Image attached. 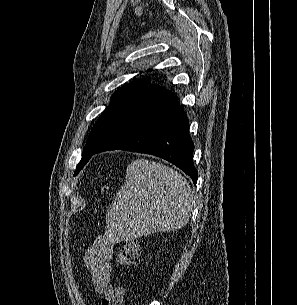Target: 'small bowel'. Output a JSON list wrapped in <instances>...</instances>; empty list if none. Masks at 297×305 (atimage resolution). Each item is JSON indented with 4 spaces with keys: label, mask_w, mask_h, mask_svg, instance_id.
<instances>
[{
    "label": "small bowel",
    "mask_w": 297,
    "mask_h": 305,
    "mask_svg": "<svg viewBox=\"0 0 297 305\" xmlns=\"http://www.w3.org/2000/svg\"><path fill=\"white\" fill-rule=\"evenodd\" d=\"M116 244V237L105 231L94 239L84 253V264L99 293H102L111 281V259Z\"/></svg>",
    "instance_id": "1"
}]
</instances>
